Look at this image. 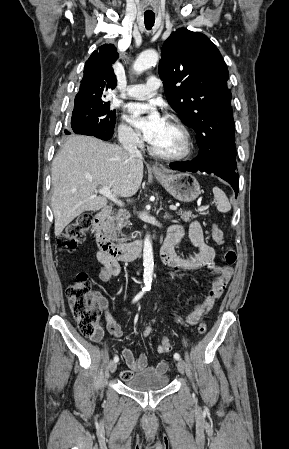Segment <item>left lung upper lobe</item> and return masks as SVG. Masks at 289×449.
I'll return each mask as SVG.
<instances>
[{"label": "left lung upper lobe", "instance_id": "left-lung-upper-lobe-1", "mask_svg": "<svg viewBox=\"0 0 289 449\" xmlns=\"http://www.w3.org/2000/svg\"><path fill=\"white\" fill-rule=\"evenodd\" d=\"M159 76L180 120L197 133L198 157L236 159L229 73L217 47L202 33L179 28L164 42Z\"/></svg>", "mask_w": 289, "mask_h": 449}]
</instances>
